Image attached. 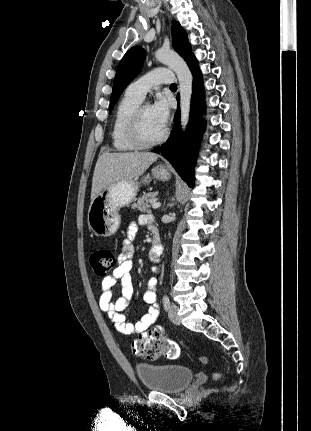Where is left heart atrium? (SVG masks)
<instances>
[{
    "label": "left heart atrium",
    "mask_w": 311,
    "mask_h": 431,
    "mask_svg": "<svg viewBox=\"0 0 311 431\" xmlns=\"http://www.w3.org/2000/svg\"><path fill=\"white\" fill-rule=\"evenodd\" d=\"M155 120L165 128L171 113V101L168 97L158 95L151 106Z\"/></svg>",
    "instance_id": "obj_1"
}]
</instances>
